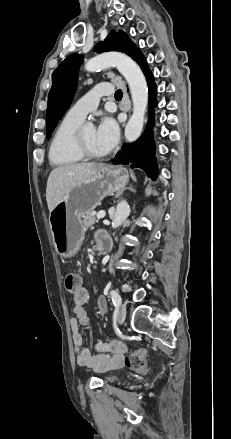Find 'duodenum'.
I'll list each match as a JSON object with an SVG mask.
<instances>
[{
  "instance_id": "1",
  "label": "duodenum",
  "mask_w": 231,
  "mask_h": 439,
  "mask_svg": "<svg viewBox=\"0 0 231 439\" xmlns=\"http://www.w3.org/2000/svg\"><path fill=\"white\" fill-rule=\"evenodd\" d=\"M111 248L112 243L109 238H102L97 243V249L100 254H107L108 252H110Z\"/></svg>"
}]
</instances>
